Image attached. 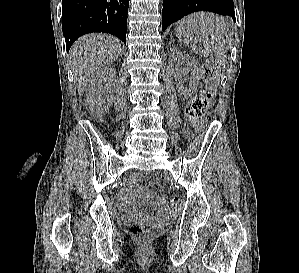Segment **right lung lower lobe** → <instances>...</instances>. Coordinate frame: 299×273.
I'll return each mask as SVG.
<instances>
[{
  "label": "right lung lower lobe",
  "mask_w": 299,
  "mask_h": 273,
  "mask_svg": "<svg viewBox=\"0 0 299 273\" xmlns=\"http://www.w3.org/2000/svg\"><path fill=\"white\" fill-rule=\"evenodd\" d=\"M129 0H62V29L67 51L80 36L106 32L126 44Z\"/></svg>",
  "instance_id": "right-lung-lower-lobe-1"
}]
</instances>
